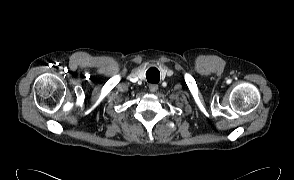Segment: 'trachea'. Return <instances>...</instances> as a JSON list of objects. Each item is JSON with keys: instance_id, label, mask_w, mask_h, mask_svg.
Masks as SVG:
<instances>
[{"instance_id": "1", "label": "trachea", "mask_w": 294, "mask_h": 180, "mask_svg": "<svg viewBox=\"0 0 294 180\" xmlns=\"http://www.w3.org/2000/svg\"><path fill=\"white\" fill-rule=\"evenodd\" d=\"M155 68H150L146 73L147 81L150 83H158L159 82V75L155 73Z\"/></svg>"}]
</instances>
